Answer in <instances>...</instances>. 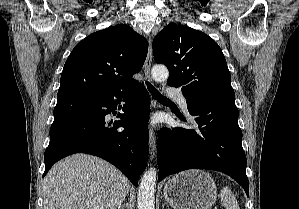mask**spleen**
<instances>
[{"instance_id": "1", "label": "spleen", "mask_w": 299, "mask_h": 209, "mask_svg": "<svg viewBox=\"0 0 299 209\" xmlns=\"http://www.w3.org/2000/svg\"><path fill=\"white\" fill-rule=\"evenodd\" d=\"M221 203L226 209H240L230 188L225 187L220 193Z\"/></svg>"}]
</instances>
